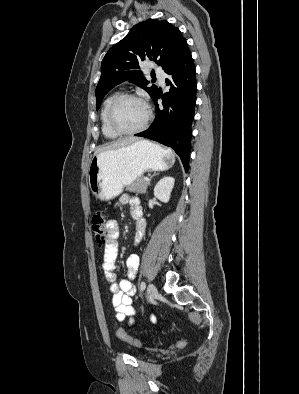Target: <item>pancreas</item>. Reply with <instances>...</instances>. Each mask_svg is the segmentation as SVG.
I'll return each instance as SVG.
<instances>
[{
    "label": "pancreas",
    "mask_w": 299,
    "mask_h": 394,
    "mask_svg": "<svg viewBox=\"0 0 299 394\" xmlns=\"http://www.w3.org/2000/svg\"><path fill=\"white\" fill-rule=\"evenodd\" d=\"M148 185L149 183L145 181V177L141 176L135 181V183L128 185L126 190L136 194H144L146 193Z\"/></svg>",
    "instance_id": "cf45deb5"
}]
</instances>
